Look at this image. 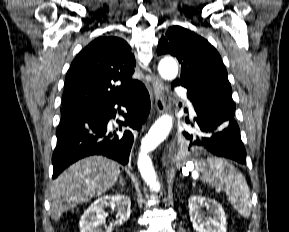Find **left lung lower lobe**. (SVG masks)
I'll use <instances>...</instances> for the list:
<instances>
[{
    "label": "left lung lower lobe",
    "instance_id": "left-lung-lower-lobe-1",
    "mask_svg": "<svg viewBox=\"0 0 289 232\" xmlns=\"http://www.w3.org/2000/svg\"><path fill=\"white\" fill-rule=\"evenodd\" d=\"M177 84L172 83V86ZM197 117L194 131L183 132L186 142L182 148L188 152L211 153L246 164V152L240 131L234 119L235 108L215 99L188 93Z\"/></svg>",
    "mask_w": 289,
    "mask_h": 232
}]
</instances>
